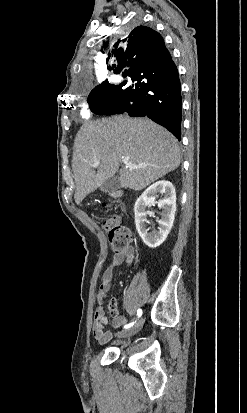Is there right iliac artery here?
Wrapping results in <instances>:
<instances>
[{"instance_id":"82829eb1","label":"right iliac artery","mask_w":247,"mask_h":413,"mask_svg":"<svg viewBox=\"0 0 247 413\" xmlns=\"http://www.w3.org/2000/svg\"><path fill=\"white\" fill-rule=\"evenodd\" d=\"M141 315H142V309H138V310H137V316H138V318H140ZM135 323H136V321H135V322H132V323H130V324H128V325H125L124 328H126V329H127V328H130V327L133 326Z\"/></svg>"}]
</instances>
